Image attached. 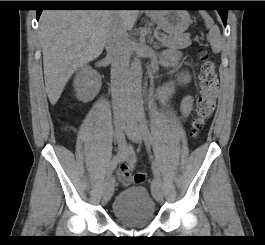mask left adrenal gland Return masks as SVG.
I'll use <instances>...</instances> for the list:
<instances>
[{"mask_svg":"<svg viewBox=\"0 0 265 245\" xmlns=\"http://www.w3.org/2000/svg\"><path fill=\"white\" fill-rule=\"evenodd\" d=\"M154 47H156V48H159V46H158V45H154Z\"/></svg>","mask_w":265,"mask_h":245,"instance_id":"left-adrenal-gland-1","label":"left adrenal gland"}]
</instances>
